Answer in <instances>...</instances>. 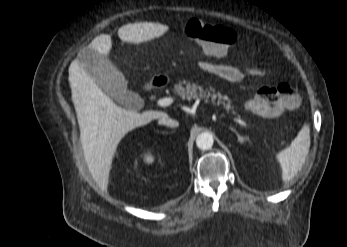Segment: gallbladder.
I'll list each match as a JSON object with an SVG mask.
<instances>
[{"label": "gallbladder", "instance_id": "gallbladder-1", "mask_svg": "<svg viewBox=\"0 0 347 247\" xmlns=\"http://www.w3.org/2000/svg\"><path fill=\"white\" fill-rule=\"evenodd\" d=\"M78 62L95 83L117 103L128 109H135L139 96L127 90V81L122 72L107 58L92 49L78 53Z\"/></svg>", "mask_w": 347, "mask_h": 247}]
</instances>
